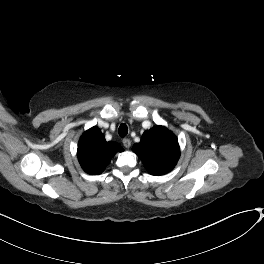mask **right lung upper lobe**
<instances>
[{"label":"right lung upper lobe","instance_id":"1","mask_svg":"<svg viewBox=\"0 0 264 264\" xmlns=\"http://www.w3.org/2000/svg\"><path fill=\"white\" fill-rule=\"evenodd\" d=\"M124 149L117 143L107 142L102 132L95 126L87 130L78 142V160L88 174H101L111 158Z\"/></svg>","mask_w":264,"mask_h":264}]
</instances>
